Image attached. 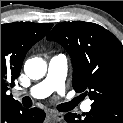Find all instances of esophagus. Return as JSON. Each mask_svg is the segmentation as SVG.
Wrapping results in <instances>:
<instances>
[{"instance_id":"obj_1","label":"esophagus","mask_w":123,"mask_h":123,"mask_svg":"<svg viewBox=\"0 0 123 123\" xmlns=\"http://www.w3.org/2000/svg\"><path fill=\"white\" fill-rule=\"evenodd\" d=\"M49 115L56 121H61L63 119V114L60 112H50Z\"/></svg>"}]
</instances>
